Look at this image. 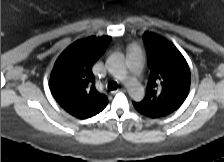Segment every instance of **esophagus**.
I'll return each instance as SVG.
<instances>
[{"label": "esophagus", "instance_id": "1", "mask_svg": "<svg viewBox=\"0 0 224 162\" xmlns=\"http://www.w3.org/2000/svg\"><path fill=\"white\" fill-rule=\"evenodd\" d=\"M119 91H123V92H125L126 89H124V88H122V89H118V90L112 91L111 93H112V94H116V93L119 92Z\"/></svg>", "mask_w": 224, "mask_h": 162}]
</instances>
